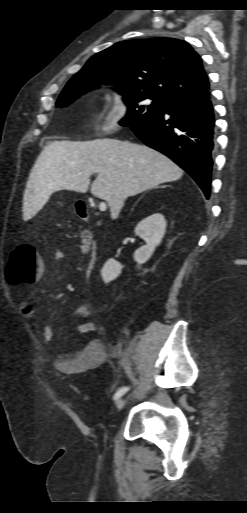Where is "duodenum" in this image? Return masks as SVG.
<instances>
[{
	"instance_id": "410a0bca",
	"label": "duodenum",
	"mask_w": 247,
	"mask_h": 513,
	"mask_svg": "<svg viewBox=\"0 0 247 513\" xmlns=\"http://www.w3.org/2000/svg\"><path fill=\"white\" fill-rule=\"evenodd\" d=\"M77 211L79 213V215L83 218V219H88L89 217V211H88V208H87V205L85 202L83 201H78L77 202ZM97 255L96 254H93L90 258V263L92 265H94L96 262H97Z\"/></svg>"
}]
</instances>
